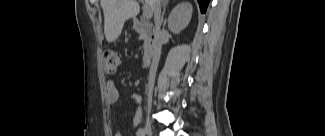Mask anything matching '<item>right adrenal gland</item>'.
Wrapping results in <instances>:
<instances>
[{
	"label": "right adrenal gland",
	"instance_id": "2a0ac1e0",
	"mask_svg": "<svg viewBox=\"0 0 325 136\" xmlns=\"http://www.w3.org/2000/svg\"><path fill=\"white\" fill-rule=\"evenodd\" d=\"M168 2H169V0H165L164 4H163L162 22L164 21V15L166 12V6H167ZM164 23H165V21H164Z\"/></svg>",
	"mask_w": 325,
	"mask_h": 136
}]
</instances>
